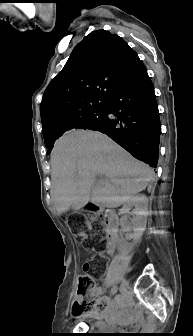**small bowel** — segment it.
<instances>
[{
    "instance_id": "1",
    "label": "small bowel",
    "mask_w": 193,
    "mask_h": 336,
    "mask_svg": "<svg viewBox=\"0 0 193 336\" xmlns=\"http://www.w3.org/2000/svg\"><path fill=\"white\" fill-rule=\"evenodd\" d=\"M102 293L101 287H94L90 292V297H98ZM104 307L103 317L110 324L132 325L138 320V316L130 310V303L127 298H122L117 303L110 301L106 297L99 298Z\"/></svg>"
}]
</instances>
